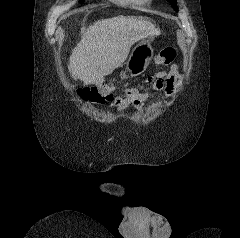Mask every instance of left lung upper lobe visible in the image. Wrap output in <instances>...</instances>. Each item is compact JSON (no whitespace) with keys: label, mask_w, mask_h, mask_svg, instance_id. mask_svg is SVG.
Instances as JSON below:
<instances>
[{"label":"left lung upper lobe","mask_w":240,"mask_h":238,"mask_svg":"<svg viewBox=\"0 0 240 238\" xmlns=\"http://www.w3.org/2000/svg\"><path fill=\"white\" fill-rule=\"evenodd\" d=\"M171 3V6L174 10H177V1L176 0H167Z\"/></svg>","instance_id":"obj_1"}]
</instances>
